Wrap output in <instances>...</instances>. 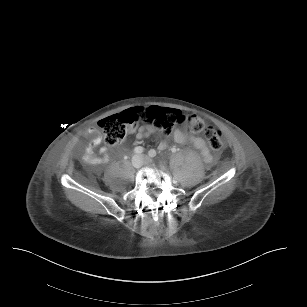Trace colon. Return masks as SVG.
<instances>
[{
  "label": "colon",
  "mask_w": 307,
  "mask_h": 307,
  "mask_svg": "<svg viewBox=\"0 0 307 307\" xmlns=\"http://www.w3.org/2000/svg\"><path fill=\"white\" fill-rule=\"evenodd\" d=\"M145 111H128L103 118L98 122V130L103 135L104 141L110 146L119 145L126 137L127 126L132 123H124V116H135L136 120L153 126L164 135L170 134L173 127L184 123L189 124L192 132L204 131L203 135L213 150H222V133L213 125H204L203 121L193 114H184L177 109L163 108L162 111H150L149 105Z\"/></svg>",
  "instance_id": "obj_1"
}]
</instances>
